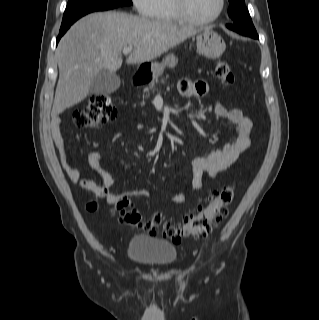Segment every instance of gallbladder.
<instances>
[{"mask_svg": "<svg viewBox=\"0 0 319 320\" xmlns=\"http://www.w3.org/2000/svg\"><path fill=\"white\" fill-rule=\"evenodd\" d=\"M120 86V78L115 73L102 70L92 80L91 94H109L116 91Z\"/></svg>", "mask_w": 319, "mask_h": 320, "instance_id": "bac80fb5", "label": "gallbladder"}]
</instances>
